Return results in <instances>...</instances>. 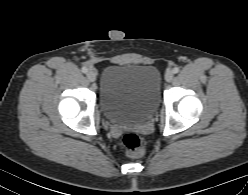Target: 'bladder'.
Segmentation results:
<instances>
[{
    "instance_id": "1",
    "label": "bladder",
    "mask_w": 248,
    "mask_h": 195,
    "mask_svg": "<svg viewBox=\"0 0 248 195\" xmlns=\"http://www.w3.org/2000/svg\"><path fill=\"white\" fill-rule=\"evenodd\" d=\"M160 97L161 75L153 65L115 64L100 76V107L112 123L138 125L146 121Z\"/></svg>"
}]
</instances>
